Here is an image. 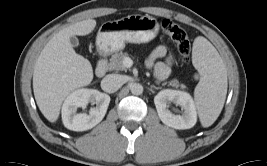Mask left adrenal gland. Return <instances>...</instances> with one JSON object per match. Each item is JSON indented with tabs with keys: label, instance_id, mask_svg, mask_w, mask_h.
Here are the masks:
<instances>
[{
	"label": "left adrenal gland",
	"instance_id": "1",
	"mask_svg": "<svg viewBox=\"0 0 267 166\" xmlns=\"http://www.w3.org/2000/svg\"><path fill=\"white\" fill-rule=\"evenodd\" d=\"M150 87H151V91H152V88H154V89H160L159 87H156L155 85H151Z\"/></svg>",
	"mask_w": 267,
	"mask_h": 166
}]
</instances>
